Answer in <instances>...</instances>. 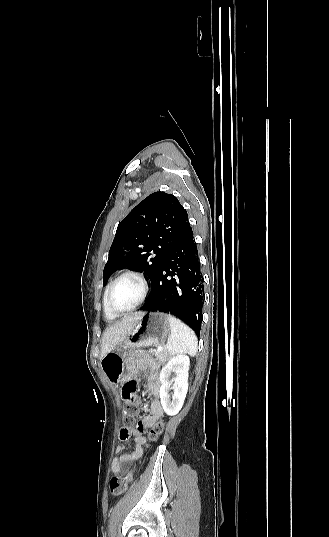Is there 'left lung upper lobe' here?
I'll return each instance as SVG.
<instances>
[{"instance_id":"left-lung-upper-lobe-1","label":"left lung upper lobe","mask_w":329,"mask_h":537,"mask_svg":"<svg viewBox=\"0 0 329 537\" xmlns=\"http://www.w3.org/2000/svg\"><path fill=\"white\" fill-rule=\"evenodd\" d=\"M187 211L178 199L155 192L141 201L118 225L103 271V284L124 267L153 276L168 253L186 235Z\"/></svg>"}]
</instances>
